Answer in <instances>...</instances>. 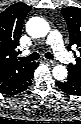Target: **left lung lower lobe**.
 Listing matches in <instances>:
<instances>
[{"label":"left lung lower lobe","instance_id":"obj_1","mask_svg":"<svg viewBox=\"0 0 81 124\" xmlns=\"http://www.w3.org/2000/svg\"><path fill=\"white\" fill-rule=\"evenodd\" d=\"M56 86L66 94L74 96L81 95V82L72 76H68L66 81H57Z\"/></svg>","mask_w":81,"mask_h":124}]
</instances>
